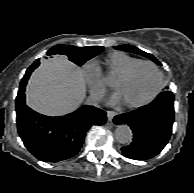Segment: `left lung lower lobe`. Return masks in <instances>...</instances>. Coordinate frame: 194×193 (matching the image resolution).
Masks as SVG:
<instances>
[{"label":"left lung lower lobe","mask_w":194,"mask_h":193,"mask_svg":"<svg viewBox=\"0 0 194 193\" xmlns=\"http://www.w3.org/2000/svg\"><path fill=\"white\" fill-rule=\"evenodd\" d=\"M173 103V93L165 91L151 104L114 117L116 125L127 124L133 131L132 142L121 148L124 156L147 160L162 151L172 133Z\"/></svg>","instance_id":"1"}]
</instances>
